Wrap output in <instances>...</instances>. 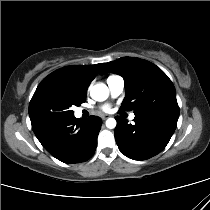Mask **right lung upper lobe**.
<instances>
[{"label":"right lung upper lobe","instance_id":"cb5924a9","mask_svg":"<svg viewBox=\"0 0 210 210\" xmlns=\"http://www.w3.org/2000/svg\"><path fill=\"white\" fill-rule=\"evenodd\" d=\"M102 66L103 63L96 65L67 66L49 74L38 85L30 101V118L38 102L49 92L68 90L86 97L88 86L96 77Z\"/></svg>","mask_w":210,"mask_h":210}]
</instances>
